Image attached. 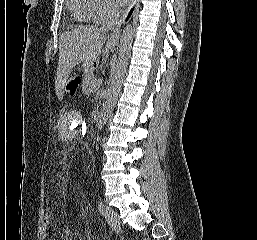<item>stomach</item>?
<instances>
[{
	"label": "stomach",
	"mask_w": 257,
	"mask_h": 240,
	"mask_svg": "<svg viewBox=\"0 0 257 240\" xmlns=\"http://www.w3.org/2000/svg\"><path fill=\"white\" fill-rule=\"evenodd\" d=\"M113 46H114V45H110L109 48H110V49H113ZM84 71H85V72H91V71H90V65H85V64H84Z\"/></svg>",
	"instance_id": "stomach-1"
}]
</instances>
